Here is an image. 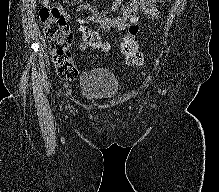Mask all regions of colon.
I'll list each match as a JSON object with an SVG mask.
<instances>
[{
	"instance_id": "5ec220e1",
	"label": "colon",
	"mask_w": 219,
	"mask_h": 192,
	"mask_svg": "<svg viewBox=\"0 0 219 192\" xmlns=\"http://www.w3.org/2000/svg\"><path fill=\"white\" fill-rule=\"evenodd\" d=\"M39 17L50 45L52 62L58 76L64 80H74L78 75V70L72 60L70 52L72 34L65 20L61 17L58 8L49 4V0H43ZM93 45L97 52L109 50L107 43L102 40L94 41ZM120 50L128 64L138 65L142 63L143 55L139 50L135 35L127 34L122 39Z\"/></svg>"
}]
</instances>
